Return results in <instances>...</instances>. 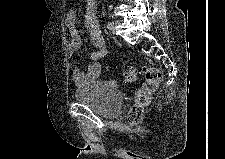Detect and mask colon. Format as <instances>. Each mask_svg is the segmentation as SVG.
Listing matches in <instances>:
<instances>
[{"label": "colon", "mask_w": 225, "mask_h": 159, "mask_svg": "<svg viewBox=\"0 0 225 159\" xmlns=\"http://www.w3.org/2000/svg\"><path fill=\"white\" fill-rule=\"evenodd\" d=\"M145 75L144 82L136 89L134 95V105L128 113V120L132 123L138 122L148 107L151 101V96L159 87L162 80L161 70L155 66H145L143 68ZM138 71L135 68H130L126 72V80L129 83H134L137 80Z\"/></svg>", "instance_id": "5ec220e1"}]
</instances>
